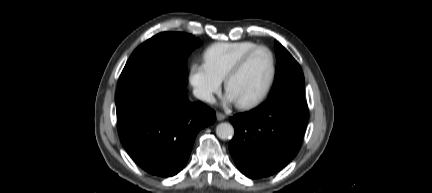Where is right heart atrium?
<instances>
[{
  "mask_svg": "<svg viewBox=\"0 0 432 193\" xmlns=\"http://www.w3.org/2000/svg\"><path fill=\"white\" fill-rule=\"evenodd\" d=\"M189 82L194 94L204 102H212L221 89V80L203 62H194L189 69Z\"/></svg>",
  "mask_w": 432,
  "mask_h": 193,
  "instance_id": "obj_1",
  "label": "right heart atrium"
}]
</instances>
